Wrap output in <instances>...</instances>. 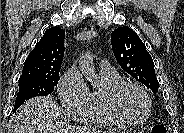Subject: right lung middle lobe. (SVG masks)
<instances>
[{"mask_svg":"<svg viewBox=\"0 0 184 133\" xmlns=\"http://www.w3.org/2000/svg\"><path fill=\"white\" fill-rule=\"evenodd\" d=\"M60 77L49 79H25L19 80V91L16 97L14 110L16 111L25 101L36 96H48L54 91Z\"/></svg>","mask_w":184,"mask_h":133,"instance_id":"obj_1","label":"right lung middle lobe"}]
</instances>
